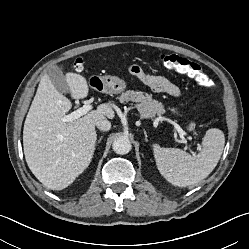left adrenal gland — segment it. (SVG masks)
Instances as JSON below:
<instances>
[{
  "instance_id": "a2214340",
  "label": "left adrenal gland",
  "mask_w": 249,
  "mask_h": 249,
  "mask_svg": "<svg viewBox=\"0 0 249 249\" xmlns=\"http://www.w3.org/2000/svg\"><path fill=\"white\" fill-rule=\"evenodd\" d=\"M144 135H145V140L148 141V138H147L148 136H147V132L145 129H144Z\"/></svg>"
}]
</instances>
